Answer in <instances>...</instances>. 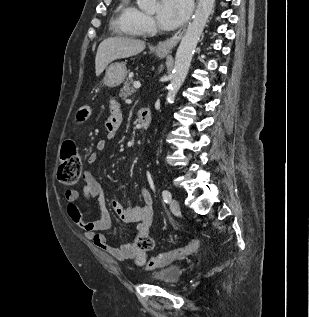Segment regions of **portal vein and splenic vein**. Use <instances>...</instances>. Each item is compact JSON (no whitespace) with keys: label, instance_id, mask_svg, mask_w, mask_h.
<instances>
[{"label":"portal vein and splenic vein","instance_id":"18ae733b","mask_svg":"<svg viewBox=\"0 0 309 317\" xmlns=\"http://www.w3.org/2000/svg\"><path fill=\"white\" fill-rule=\"evenodd\" d=\"M133 87H134L135 89H139V88L141 87L140 82H138V81L134 82V83H133Z\"/></svg>","mask_w":309,"mask_h":317}]
</instances>
